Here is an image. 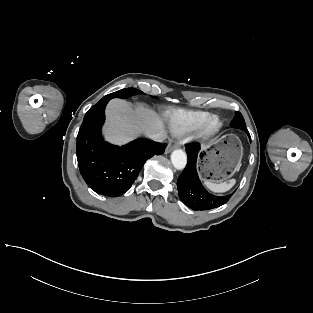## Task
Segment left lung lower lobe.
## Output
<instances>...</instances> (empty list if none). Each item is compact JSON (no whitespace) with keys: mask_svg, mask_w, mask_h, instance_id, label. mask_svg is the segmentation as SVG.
<instances>
[{"mask_svg":"<svg viewBox=\"0 0 313 313\" xmlns=\"http://www.w3.org/2000/svg\"><path fill=\"white\" fill-rule=\"evenodd\" d=\"M246 133L249 135L248 131ZM199 149L200 146L197 143L186 145L188 163L177 181L181 201L195 211L219 207L231 197V195L214 196L203 187L196 170Z\"/></svg>","mask_w":313,"mask_h":313,"instance_id":"1","label":"left lung lower lobe"}]
</instances>
